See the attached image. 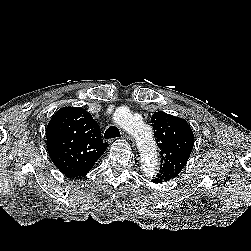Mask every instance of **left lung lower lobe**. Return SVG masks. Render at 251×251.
Instances as JSON below:
<instances>
[{
    "label": "left lung lower lobe",
    "instance_id": "1",
    "mask_svg": "<svg viewBox=\"0 0 251 251\" xmlns=\"http://www.w3.org/2000/svg\"><path fill=\"white\" fill-rule=\"evenodd\" d=\"M153 181L156 182V183H162V182H160L159 179H156V178Z\"/></svg>",
    "mask_w": 251,
    "mask_h": 251
}]
</instances>
